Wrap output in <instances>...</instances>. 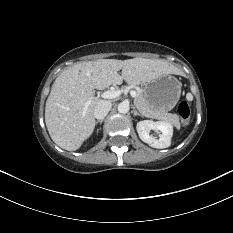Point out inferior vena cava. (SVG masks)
I'll use <instances>...</instances> for the list:
<instances>
[{
  "mask_svg": "<svg viewBox=\"0 0 233 233\" xmlns=\"http://www.w3.org/2000/svg\"><path fill=\"white\" fill-rule=\"evenodd\" d=\"M112 104L107 100H100L94 109V116L98 120H103L111 110Z\"/></svg>",
  "mask_w": 233,
  "mask_h": 233,
  "instance_id": "obj_1",
  "label": "inferior vena cava"
}]
</instances>
